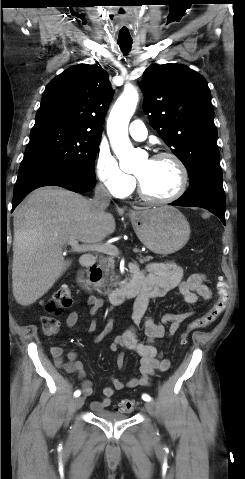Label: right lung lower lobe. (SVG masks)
<instances>
[{
    "instance_id": "right-lung-lower-lobe-1",
    "label": "right lung lower lobe",
    "mask_w": 245,
    "mask_h": 479,
    "mask_svg": "<svg viewBox=\"0 0 245 479\" xmlns=\"http://www.w3.org/2000/svg\"><path fill=\"white\" fill-rule=\"evenodd\" d=\"M43 186H60L83 193L95 186V178L61 167H37L18 174L14 187L12 211L34 189Z\"/></svg>"
}]
</instances>
